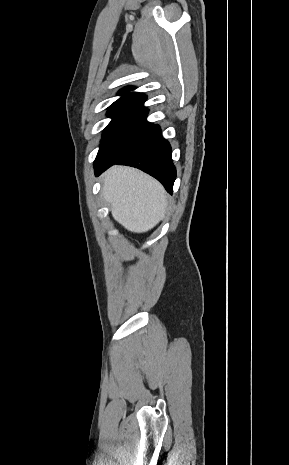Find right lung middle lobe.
Listing matches in <instances>:
<instances>
[{
  "instance_id": "1",
  "label": "right lung middle lobe",
  "mask_w": 289,
  "mask_h": 465,
  "mask_svg": "<svg viewBox=\"0 0 289 465\" xmlns=\"http://www.w3.org/2000/svg\"><path fill=\"white\" fill-rule=\"evenodd\" d=\"M147 113L141 104L109 108L112 120L103 131L95 162L115 161L130 150L153 126L146 121Z\"/></svg>"
}]
</instances>
